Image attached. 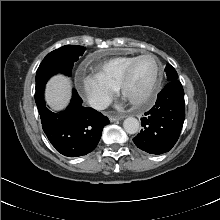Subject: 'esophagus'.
<instances>
[{"label":"esophagus","instance_id":"1","mask_svg":"<svg viewBox=\"0 0 220 220\" xmlns=\"http://www.w3.org/2000/svg\"><path fill=\"white\" fill-rule=\"evenodd\" d=\"M123 118H124V116H109V119H110L111 122L121 120Z\"/></svg>","mask_w":220,"mask_h":220}]
</instances>
